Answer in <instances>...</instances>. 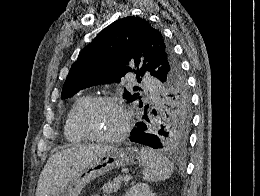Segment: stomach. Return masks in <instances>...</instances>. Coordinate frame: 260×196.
I'll return each instance as SVG.
<instances>
[{
	"label": "stomach",
	"instance_id": "1",
	"mask_svg": "<svg viewBox=\"0 0 260 196\" xmlns=\"http://www.w3.org/2000/svg\"><path fill=\"white\" fill-rule=\"evenodd\" d=\"M139 158L137 148H119V146H107L103 154L93 158L87 168H81L75 178L69 182L67 187H63L61 193H43L42 196H80L83 188L90 184L95 178H99L105 172L122 168V166H132ZM67 192V193H64Z\"/></svg>",
	"mask_w": 260,
	"mask_h": 196
}]
</instances>
